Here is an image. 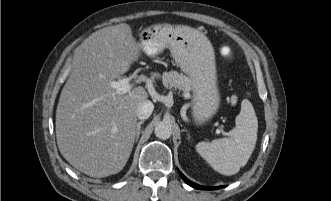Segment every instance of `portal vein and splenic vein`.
<instances>
[{
    "label": "portal vein and splenic vein",
    "mask_w": 331,
    "mask_h": 201,
    "mask_svg": "<svg viewBox=\"0 0 331 201\" xmlns=\"http://www.w3.org/2000/svg\"><path fill=\"white\" fill-rule=\"evenodd\" d=\"M132 80V77H126L123 79H119L117 81H112L110 83L111 87L116 89L118 94H126L130 92L133 85L130 83ZM218 133H221L222 131L220 129L217 130Z\"/></svg>",
    "instance_id": "1"
}]
</instances>
